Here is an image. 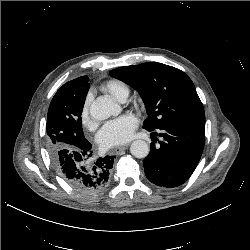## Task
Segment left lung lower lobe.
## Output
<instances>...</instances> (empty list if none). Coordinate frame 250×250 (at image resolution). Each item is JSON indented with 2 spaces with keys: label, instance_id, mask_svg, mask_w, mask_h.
<instances>
[{
  "label": "left lung lower lobe",
  "instance_id": "left-lung-lower-lobe-1",
  "mask_svg": "<svg viewBox=\"0 0 250 250\" xmlns=\"http://www.w3.org/2000/svg\"><path fill=\"white\" fill-rule=\"evenodd\" d=\"M158 132L162 141L159 148L151 144L150 153L143 162L145 175L158 186H180L199 163L204 149L205 124L169 126Z\"/></svg>",
  "mask_w": 250,
  "mask_h": 250
}]
</instances>
